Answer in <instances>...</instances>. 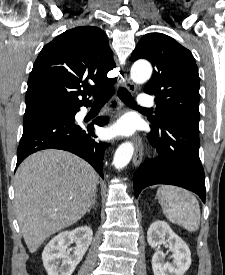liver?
Masks as SVG:
<instances>
[{"label":"liver","mask_w":225,"mask_h":275,"mask_svg":"<svg viewBox=\"0 0 225 275\" xmlns=\"http://www.w3.org/2000/svg\"><path fill=\"white\" fill-rule=\"evenodd\" d=\"M98 179L86 161L63 150H42L20 164L14 181L15 206L31 253L86 214Z\"/></svg>","instance_id":"obj_1"}]
</instances>
